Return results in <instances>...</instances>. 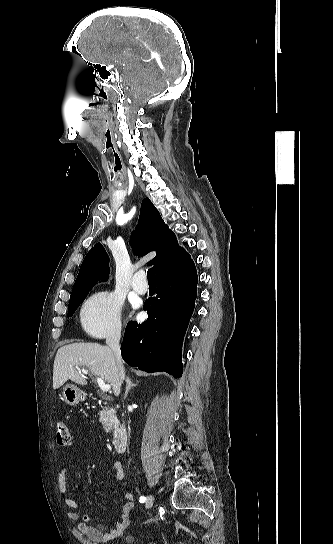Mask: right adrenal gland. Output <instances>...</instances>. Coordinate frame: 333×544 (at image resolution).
<instances>
[{
    "instance_id": "2a0ac1e0",
    "label": "right adrenal gland",
    "mask_w": 333,
    "mask_h": 544,
    "mask_svg": "<svg viewBox=\"0 0 333 544\" xmlns=\"http://www.w3.org/2000/svg\"><path fill=\"white\" fill-rule=\"evenodd\" d=\"M126 383H127V386H126V391H125V398L127 397L129 390L132 387L137 385V384H134V383L131 382V379L129 378V376L126 377Z\"/></svg>"
}]
</instances>
